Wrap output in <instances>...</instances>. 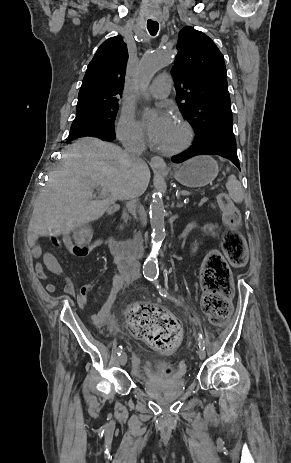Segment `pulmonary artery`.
<instances>
[{"label":"pulmonary artery","mask_w":291,"mask_h":463,"mask_svg":"<svg viewBox=\"0 0 291 463\" xmlns=\"http://www.w3.org/2000/svg\"><path fill=\"white\" fill-rule=\"evenodd\" d=\"M172 88V78L168 74L157 76L150 85L147 96L154 99L166 98Z\"/></svg>","instance_id":"1"}]
</instances>
